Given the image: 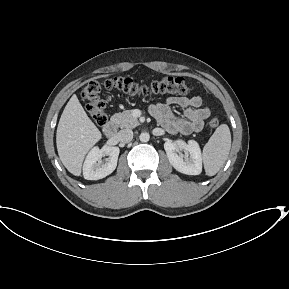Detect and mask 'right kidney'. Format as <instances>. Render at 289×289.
I'll use <instances>...</instances> for the list:
<instances>
[{
	"mask_svg": "<svg viewBox=\"0 0 289 289\" xmlns=\"http://www.w3.org/2000/svg\"><path fill=\"white\" fill-rule=\"evenodd\" d=\"M119 148L103 146L101 149L94 147L88 153L83 165V175L87 180H99L111 174L116 166L119 156ZM107 155L106 161L102 163V156Z\"/></svg>",
	"mask_w": 289,
	"mask_h": 289,
	"instance_id": "right-kidney-1",
	"label": "right kidney"
}]
</instances>
